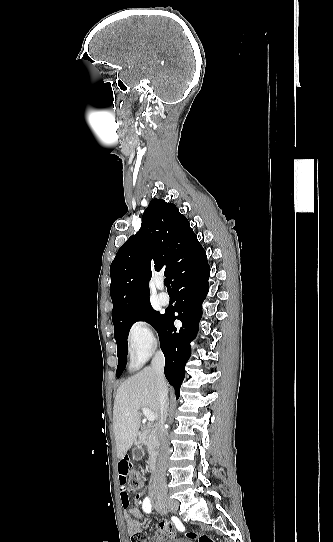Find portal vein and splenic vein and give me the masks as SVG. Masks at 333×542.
I'll use <instances>...</instances> for the list:
<instances>
[{"instance_id":"18ae733b","label":"portal vein and splenic vein","mask_w":333,"mask_h":542,"mask_svg":"<svg viewBox=\"0 0 333 542\" xmlns=\"http://www.w3.org/2000/svg\"><path fill=\"white\" fill-rule=\"evenodd\" d=\"M142 412L145 416V420H148V422H154L156 416L154 414V412H152V410H150V408H142Z\"/></svg>"}]
</instances>
